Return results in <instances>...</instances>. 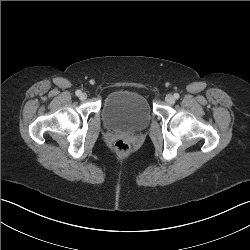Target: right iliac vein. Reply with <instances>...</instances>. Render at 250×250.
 <instances>
[{"label": "right iliac vein", "mask_w": 250, "mask_h": 250, "mask_svg": "<svg viewBox=\"0 0 250 250\" xmlns=\"http://www.w3.org/2000/svg\"><path fill=\"white\" fill-rule=\"evenodd\" d=\"M86 98H87V94L86 93H81L80 99L85 100Z\"/></svg>", "instance_id": "63e3f726"}]
</instances>
